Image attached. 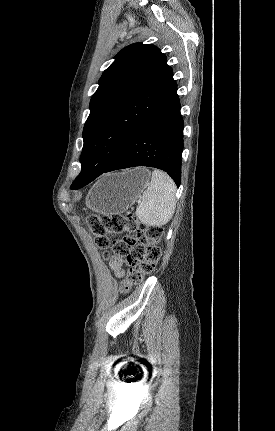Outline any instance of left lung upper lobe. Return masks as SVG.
<instances>
[{
  "mask_svg": "<svg viewBox=\"0 0 275 431\" xmlns=\"http://www.w3.org/2000/svg\"><path fill=\"white\" fill-rule=\"evenodd\" d=\"M114 59L90 101L80 173L109 167L176 87L166 56L154 45L131 44Z\"/></svg>",
  "mask_w": 275,
  "mask_h": 431,
  "instance_id": "obj_1",
  "label": "left lung upper lobe"
}]
</instances>
